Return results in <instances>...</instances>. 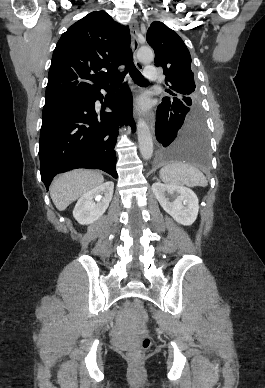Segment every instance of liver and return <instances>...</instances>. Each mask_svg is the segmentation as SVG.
<instances>
[{"label":"liver","mask_w":265,"mask_h":388,"mask_svg":"<svg viewBox=\"0 0 265 388\" xmlns=\"http://www.w3.org/2000/svg\"><path fill=\"white\" fill-rule=\"evenodd\" d=\"M104 178L100 172L93 170H73L60 174L50 186V196L59 212L66 210L69 204L78 200L80 196L101 186Z\"/></svg>","instance_id":"1"}]
</instances>
